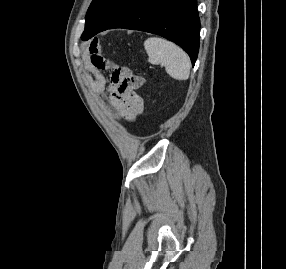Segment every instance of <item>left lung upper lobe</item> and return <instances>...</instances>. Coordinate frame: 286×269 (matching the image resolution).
Instances as JSON below:
<instances>
[{
	"label": "left lung upper lobe",
	"mask_w": 286,
	"mask_h": 269,
	"mask_svg": "<svg viewBox=\"0 0 286 269\" xmlns=\"http://www.w3.org/2000/svg\"><path fill=\"white\" fill-rule=\"evenodd\" d=\"M143 0H93L87 13L81 39L88 40L120 20Z\"/></svg>",
	"instance_id": "left-lung-upper-lobe-1"
}]
</instances>
